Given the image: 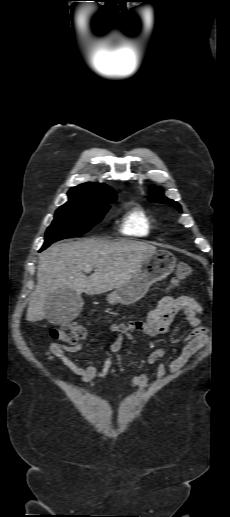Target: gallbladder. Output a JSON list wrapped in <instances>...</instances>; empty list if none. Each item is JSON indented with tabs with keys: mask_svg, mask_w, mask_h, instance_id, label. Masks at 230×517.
<instances>
[{
	"mask_svg": "<svg viewBox=\"0 0 230 517\" xmlns=\"http://www.w3.org/2000/svg\"><path fill=\"white\" fill-rule=\"evenodd\" d=\"M82 306L80 295L69 289H59L46 299V318L53 324L68 322L80 314Z\"/></svg>",
	"mask_w": 230,
	"mask_h": 517,
	"instance_id": "obj_1",
	"label": "gallbladder"
}]
</instances>
